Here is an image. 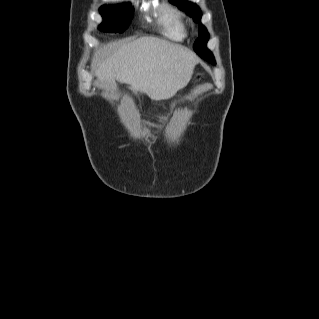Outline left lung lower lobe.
<instances>
[{"label":"left lung lower lobe","instance_id":"1","mask_svg":"<svg viewBox=\"0 0 319 319\" xmlns=\"http://www.w3.org/2000/svg\"><path fill=\"white\" fill-rule=\"evenodd\" d=\"M198 55H199L200 57H202L203 59H205V60L208 59V57H207L203 52H201V51H199ZM207 61H208V60H207ZM208 62H209V61H208ZM210 63H211V62H210ZM212 63L215 64L214 58H213V60H212Z\"/></svg>","mask_w":319,"mask_h":319}]
</instances>
